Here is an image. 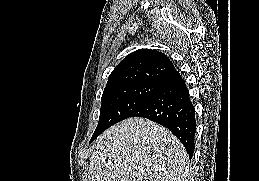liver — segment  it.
I'll list each match as a JSON object with an SVG mask.
<instances>
[{
    "instance_id": "1",
    "label": "liver",
    "mask_w": 259,
    "mask_h": 181,
    "mask_svg": "<svg viewBox=\"0 0 259 181\" xmlns=\"http://www.w3.org/2000/svg\"><path fill=\"white\" fill-rule=\"evenodd\" d=\"M188 155L168 129L129 118L96 140L88 181H188Z\"/></svg>"
}]
</instances>
